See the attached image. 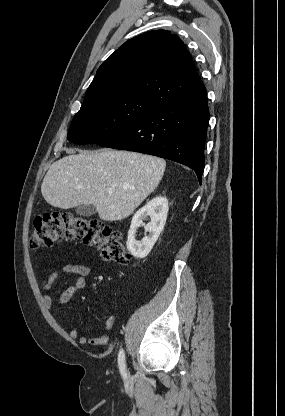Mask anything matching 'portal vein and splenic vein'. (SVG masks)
Masks as SVG:
<instances>
[{"label": "portal vein and splenic vein", "mask_w": 285, "mask_h": 416, "mask_svg": "<svg viewBox=\"0 0 285 416\" xmlns=\"http://www.w3.org/2000/svg\"><path fill=\"white\" fill-rule=\"evenodd\" d=\"M108 194L109 196H112V194H114V190H108Z\"/></svg>", "instance_id": "1"}]
</instances>
